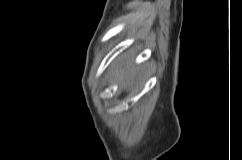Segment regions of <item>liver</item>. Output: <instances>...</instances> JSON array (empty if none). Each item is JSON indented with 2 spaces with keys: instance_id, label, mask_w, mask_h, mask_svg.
<instances>
[{
  "instance_id": "obj_1",
  "label": "liver",
  "mask_w": 242,
  "mask_h": 160,
  "mask_svg": "<svg viewBox=\"0 0 242 160\" xmlns=\"http://www.w3.org/2000/svg\"><path fill=\"white\" fill-rule=\"evenodd\" d=\"M138 72L131 69V61L122 62L116 71L115 77L121 86H125L127 91H131L138 80Z\"/></svg>"
}]
</instances>
